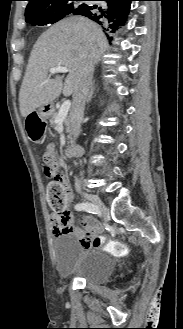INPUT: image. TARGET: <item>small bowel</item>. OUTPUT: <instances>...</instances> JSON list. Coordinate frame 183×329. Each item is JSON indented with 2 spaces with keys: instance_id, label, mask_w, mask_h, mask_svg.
<instances>
[{
  "instance_id": "1",
  "label": "small bowel",
  "mask_w": 183,
  "mask_h": 329,
  "mask_svg": "<svg viewBox=\"0 0 183 329\" xmlns=\"http://www.w3.org/2000/svg\"><path fill=\"white\" fill-rule=\"evenodd\" d=\"M49 157L53 165L57 168L60 166L58 158L53 154L52 147H48L44 158ZM50 221L53 226L54 236H59L62 233H73L77 236L82 248L89 249L96 247L94 238L102 231V227L93 219L83 218L79 225L74 222L73 215L68 212L65 217L61 218L54 214L50 215Z\"/></svg>"
}]
</instances>
